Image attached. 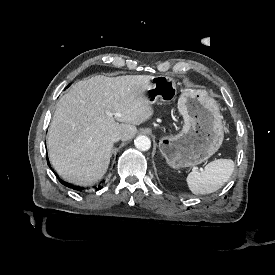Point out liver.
<instances>
[{
  "mask_svg": "<svg viewBox=\"0 0 275 275\" xmlns=\"http://www.w3.org/2000/svg\"><path fill=\"white\" fill-rule=\"evenodd\" d=\"M150 75H98L75 83L58 101L51 121L47 148L50 162L66 181L79 186L96 183L106 173L113 142L119 131L131 139L153 115L143 93ZM120 113V117L108 114ZM122 123H118V122Z\"/></svg>",
  "mask_w": 275,
  "mask_h": 275,
  "instance_id": "6515ba94",
  "label": "liver"
}]
</instances>
